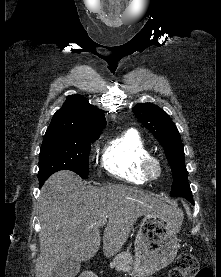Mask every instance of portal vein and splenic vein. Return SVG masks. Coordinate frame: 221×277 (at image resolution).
Segmentation results:
<instances>
[{"instance_id": "1", "label": "portal vein and splenic vein", "mask_w": 221, "mask_h": 277, "mask_svg": "<svg viewBox=\"0 0 221 277\" xmlns=\"http://www.w3.org/2000/svg\"><path fill=\"white\" fill-rule=\"evenodd\" d=\"M105 222H106V219H103V220L100 221L99 225L102 226Z\"/></svg>"}]
</instances>
